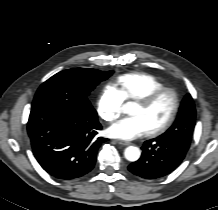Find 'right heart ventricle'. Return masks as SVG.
Here are the masks:
<instances>
[{
	"instance_id": "obj_1",
	"label": "right heart ventricle",
	"mask_w": 218,
	"mask_h": 210,
	"mask_svg": "<svg viewBox=\"0 0 218 210\" xmlns=\"http://www.w3.org/2000/svg\"><path fill=\"white\" fill-rule=\"evenodd\" d=\"M112 87L118 91L123 101L139 100L145 95L164 87L154 75L144 72H132L116 78Z\"/></svg>"
}]
</instances>
